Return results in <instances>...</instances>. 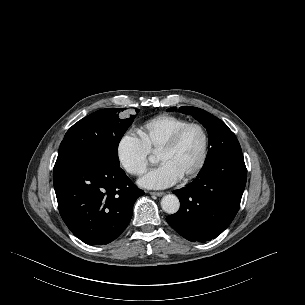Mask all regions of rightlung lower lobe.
<instances>
[{"label":"right lung lower lobe","mask_w":305,"mask_h":305,"mask_svg":"<svg viewBox=\"0 0 305 305\" xmlns=\"http://www.w3.org/2000/svg\"><path fill=\"white\" fill-rule=\"evenodd\" d=\"M53 181L63 221L90 245L116 239L130 222L134 202L144 194L120 167L93 158L55 163Z\"/></svg>","instance_id":"obj_1"}]
</instances>
